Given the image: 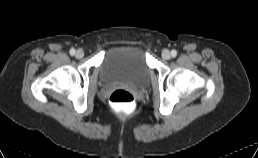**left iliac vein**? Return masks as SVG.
Returning <instances> with one entry per match:
<instances>
[{"label": "left iliac vein", "mask_w": 258, "mask_h": 158, "mask_svg": "<svg viewBox=\"0 0 258 158\" xmlns=\"http://www.w3.org/2000/svg\"><path fill=\"white\" fill-rule=\"evenodd\" d=\"M162 57H163L164 59H166V60L170 59L171 54H170L169 50H167V49L163 50V51H162Z\"/></svg>", "instance_id": "4c4485c4"}]
</instances>
